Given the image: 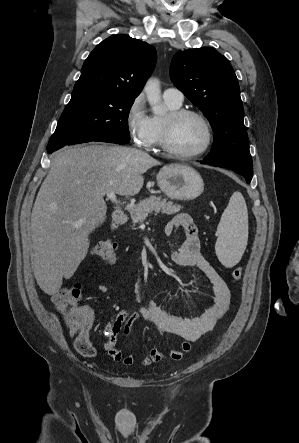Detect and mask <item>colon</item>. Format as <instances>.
Listing matches in <instances>:
<instances>
[{
	"label": "colon",
	"instance_id": "obj_1",
	"mask_svg": "<svg viewBox=\"0 0 299 443\" xmlns=\"http://www.w3.org/2000/svg\"><path fill=\"white\" fill-rule=\"evenodd\" d=\"M117 243L112 239H105L97 242L93 247V254L107 263H113ZM234 280L242 277V268L236 267L232 270ZM82 297V289L79 284L62 288L53 296L55 309L63 317L66 327L75 335L85 333L89 324L81 313L79 302Z\"/></svg>",
	"mask_w": 299,
	"mask_h": 443
}]
</instances>
